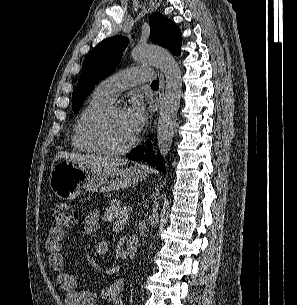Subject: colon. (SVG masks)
<instances>
[{"instance_id":"1","label":"colon","mask_w":297,"mask_h":305,"mask_svg":"<svg viewBox=\"0 0 297 305\" xmlns=\"http://www.w3.org/2000/svg\"><path fill=\"white\" fill-rule=\"evenodd\" d=\"M51 222L53 228H72L77 222V215L70 204L65 201H57L53 207Z\"/></svg>"}]
</instances>
